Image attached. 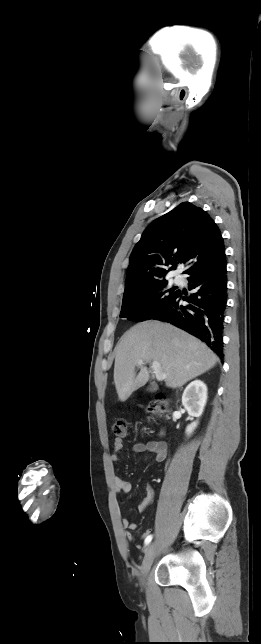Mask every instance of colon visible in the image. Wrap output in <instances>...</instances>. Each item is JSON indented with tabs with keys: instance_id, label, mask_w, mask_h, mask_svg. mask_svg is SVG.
Wrapping results in <instances>:
<instances>
[{
	"instance_id": "obj_1",
	"label": "colon",
	"mask_w": 261,
	"mask_h": 644,
	"mask_svg": "<svg viewBox=\"0 0 261 644\" xmlns=\"http://www.w3.org/2000/svg\"><path fill=\"white\" fill-rule=\"evenodd\" d=\"M168 399L164 395H159L157 399L149 406L148 412L150 414H157L167 409ZM113 432L119 439L127 436V424L125 421L119 420L113 425Z\"/></svg>"
}]
</instances>
